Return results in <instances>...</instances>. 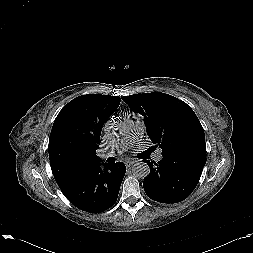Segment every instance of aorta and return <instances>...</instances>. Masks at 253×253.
Here are the masks:
<instances>
[{"mask_svg": "<svg viewBox=\"0 0 253 253\" xmlns=\"http://www.w3.org/2000/svg\"><path fill=\"white\" fill-rule=\"evenodd\" d=\"M125 130V125L121 121L110 120L106 122L104 131L110 136H118ZM150 173V168L147 163L143 161H137L132 166V174L137 179H145Z\"/></svg>", "mask_w": 253, "mask_h": 253, "instance_id": "762f6f07", "label": "aorta"}]
</instances>
